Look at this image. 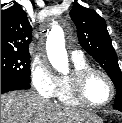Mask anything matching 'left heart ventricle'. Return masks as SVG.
I'll return each instance as SVG.
<instances>
[{"label": "left heart ventricle", "instance_id": "1", "mask_svg": "<svg viewBox=\"0 0 122 123\" xmlns=\"http://www.w3.org/2000/svg\"><path fill=\"white\" fill-rule=\"evenodd\" d=\"M85 93L90 101L103 103L109 99L111 89L105 78L95 74L88 80Z\"/></svg>", "mask_w": 122, "mask_h": 123}]
</instances>
